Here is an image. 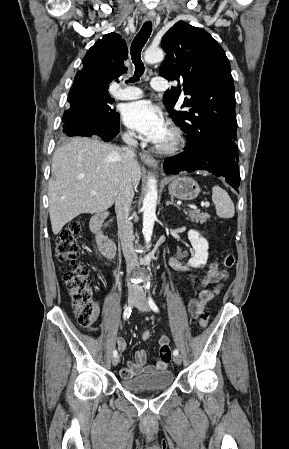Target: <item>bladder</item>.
Instances as JSON below:
<instances>
[{
	"instance_id": "31cf9c89",
	"label": "bladder",
	"mask_w": 289,
	"mask_h": 449,
	"mask_svg": "<svg viewBox=\"0 0 289 449\" xmlns=\"http://www.w3.org/2000/svg\"><path fill=\"white\" fill-rule=\"evenodd\" d=\"M174 381L171 370L164 369L122 379L120 385L128 391L161 390L169 388Z\"/></svg>"
}]
</instances>
